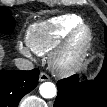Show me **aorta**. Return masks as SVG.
<instances>
[{"label":"aorta","instance_id":"obj_1","mask_svg":"<svg viewBox=\"0 0 107 107\" xmlns=\"http://www.w3.org/2000/svg\"><path fill=\"white\" fill-rule=\"evenodd\" d=\"M40 94L43 98H53L57 94L56 86L52 82H44L39 88Z\"/></svg>","mask_w":107,"mask_h":107}]
</instances>
